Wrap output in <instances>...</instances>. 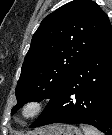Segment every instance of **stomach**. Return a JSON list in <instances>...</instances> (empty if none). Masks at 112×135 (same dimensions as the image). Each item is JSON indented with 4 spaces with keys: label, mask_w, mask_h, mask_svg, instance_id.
<instances>
[{
    "label": "stomach",
    "mask_w": 112,
    "mask_h": 135,
    "mask_svg": "<svg viewBox=\"0 0 112 135\" xmlns=\"http://www.w3.org/2000/svg\"><path fill=\"white\" fill-rule=\"evenodd\" d=\"M39 135V134H35ZM41 135H82L79 128L71 125H55L43 130Z\"/></svg>",
    "instance_id": "1"
}]
</instances>
